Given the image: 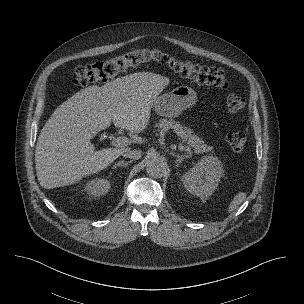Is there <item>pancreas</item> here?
Masks as SVG:
<instances>
[{"label":"pancreas","mask_w":304,"mask_h":304,"mask_svg":"<svg viewBox=\"0 0 304 304\" xmlns=\"http://www.w3.org/2000/svg\"><path fill=\"white\" fill-rule=\"evenodd\" d=\"M155 127L158 131L164 132L173 129L182 142L187 143L188 146L191 147L197 154L208 153L213 149V147L205 144L202 139L192 134L193 131L190 128L183 126L173 119H161L158 123H156Z\"/></svg>","instance_id":"1"}]
</instances>
